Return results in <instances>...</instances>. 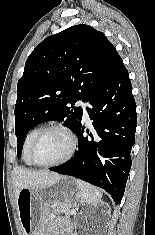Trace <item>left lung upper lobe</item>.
I'll use <instances>...</instances> for the list:
<instances>
[{
    "label": "left lung upper lobe",
    "instance_id": "obj_1",
    "mask_svg": "<svg viewBox=\"0 0 155 235\" xmlns=\"http://www.w3.org/2000/svg\"><path fill=\"white\" fill-rule=\"evenodd\" d=\"M121 58L106 36L85 24L44 39L29 55L17 84L15 134L20 157L23 140L38 123L60 120L74 131L81 107Z\"/></svg>",
    "mask_w": 155,
    "mask_h": 235
}]
</instances>
